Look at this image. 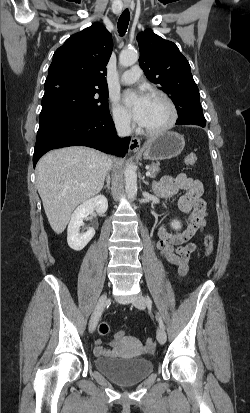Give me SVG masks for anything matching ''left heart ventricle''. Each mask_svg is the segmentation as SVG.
<instances>
[{"mask_svg": "<svg viewBox=\"0 0 250 413\" xmlns=\"http://www.w3.org/2000/svg\"><path fill=\"white\" fill-rule=\"evenodd\" d=\"M170 118V111L165 103L151 98L146 111L142 127L147 129H157L164 126Z\"/></svg>", "mask_w": 250, "mask_h": 413, "instance_id": "b2bd125f", "label": "left heart ventricle"}]
</instances>
